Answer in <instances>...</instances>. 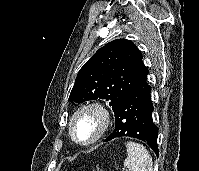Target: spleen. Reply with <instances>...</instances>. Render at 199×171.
Segmentation results:
<instances>
[{
    "label": "spleen",
    "instance_id": "1",
    "mask_svg": "<svg viewBox=\"0 0 199 171\" xmlns=\"http://www.w3.org/2000/svg\"><path fill=\"white\" fill-rule=\"evenodd\" d=\"M126 150L124 166L130 171H153L152 156L143 144L129 141L126 143Z\"/></svg>",
    "mask_w": 199,
    "mask_h": 171
}]
</instances>
